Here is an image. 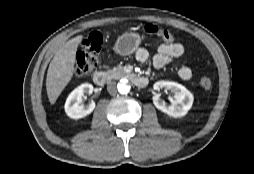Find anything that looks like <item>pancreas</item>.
Segmentation results:
<instances>
[{
    "label": "pancreas",
    "instance_id": "pancreas-1",
    "mask_svg": "<svg viewBox=\"0 0 254 174\" xmlns=\"http://www.w3.org/2000/svg\"><path fill=\"white\" fill-rule=\"evenodd\" d=\"M107 75L111 79H118L126 75L125 71L121 68H112L107 71Z\"/></svg>",
    "mask_w": 254,
    "mask_h": 174
}]
</instances>
